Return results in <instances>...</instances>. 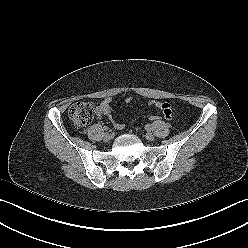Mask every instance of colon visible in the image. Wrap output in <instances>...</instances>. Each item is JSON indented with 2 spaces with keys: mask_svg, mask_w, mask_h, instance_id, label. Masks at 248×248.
Returning a JSON list of instances; mask_svg holds the SVG:
<instances>
[{
  "mask_svg": "<svg viewBox=\"0 0 248 248\" xmlns=\"http://www.w3.org/2000/svg\"><path fill=\"white\" fill-rule=\"evenodd\" d=\"M94 106L91 102L79 101L69 108V117L78 128L87 126L93 119ZM149 120L156 122L161 120L158 115H151Z\"/></svg>",
  "mask_w": 248,
  "mask_h": 248,
  "instance_id": "5ec220e1",
  "label": "colon"
}]
</instances>
